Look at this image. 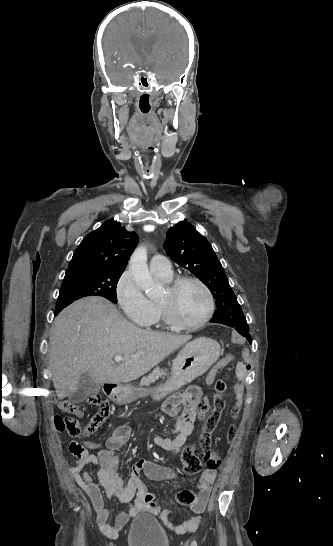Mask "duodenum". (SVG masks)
Returning <instances> with one entry per match:
<instances>
[{"mask_svg": "<svg viewBox=\"0 0 333 546\" xmlns=\"http://www.w3.org/2000/svg\"><path fill=\"white\" fill-rule=\"evenodd\" d=\"M107 392L110 396L116 398L121 393V390L117 385L109 384L107 385Z\"/></svg>", "mask_w": 333, "mask_h": 546, "instance_id": "duodenum-1", "label": "duodenum"}]
</instances>
